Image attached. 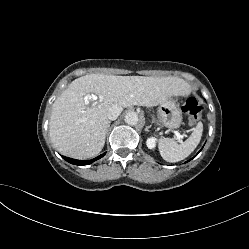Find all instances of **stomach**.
<instances>
[{
    "instance_id": "0dacf381",
    "label": "stomach",
    "mask_w": 249,
    "mask_h": 249,
    "mask_svg": "<svg viewBox=\"0 0 249 249\" xmlns=\"http://www.w3.org/2000/svg\"><path fill=\"white\" fill-rule=\"evenodd\" d=\"M153 122L159 127L169 130L180 127L182 123V112L176 105L174 99L169 98L159 105L156 118H153Z\"/></svg>"
}]
</instances>
